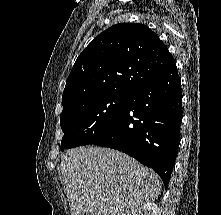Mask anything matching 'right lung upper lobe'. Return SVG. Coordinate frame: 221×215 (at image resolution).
<instances>
[{"mask_svg":"<svg viewBox=\"0 0 221 215\" xmlns=\"http://www.w3.org/2000/svg\"><path fill=\"white\" fill-rule=\"evenodd\" d=\"M174 61L146 25L116 24L94 38L75 61L63 92V108L99 95L130 94Z\"/></svg>","mask_w":221,"mask_h":215,"instance_id":"right-lung-upper-lobe-1","label":"right lung upper lobe"}]
</instances>
